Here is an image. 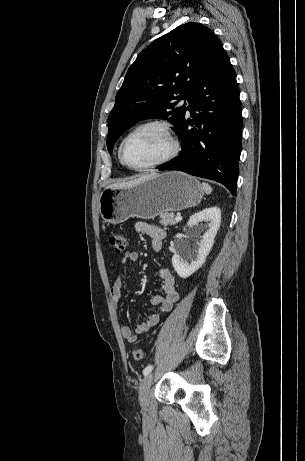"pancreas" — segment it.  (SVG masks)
Segmentation results:
<instances>
[{"instance_id":"1","label":"pancreas","mask_w":305,"mask_h":461,"mask_svg":"<svg viewBox=\"0 0 305 461\" xmlns=\"http://www.w3.org/2000/svg\"><path fill=\"white\" fill-rule=\"evenodd\" d=\"M160 224L163 226L175 225L177 223L173 212H162L159 214Z\"/></svg>"}]
</instances>
